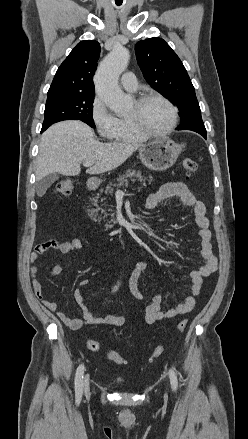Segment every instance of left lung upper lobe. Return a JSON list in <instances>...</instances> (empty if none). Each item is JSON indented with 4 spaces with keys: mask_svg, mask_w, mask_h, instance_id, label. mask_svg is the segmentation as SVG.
Returning <instances> with one entry per match:
<instances>
[{
    "mask_svg": "<svg viewBox=\"0 0 248 439\" xmlns=\"http://www.w3.org/2000/svg\"><path fill=\"white\" fill-rule=\"evenodd\" d=\"M135 50L146 81L177 105L181 119L177 130L206 133L194 86L171 47L163 39L156 37L137 42Z\"/></svg>",
    "mask_w": 248,
    "mask_h": 439,
    "instance_id": "obj_1",
    "label": "left lung upper lobe"
}]
</instances>
